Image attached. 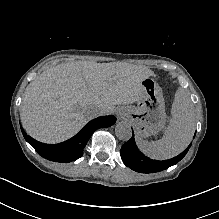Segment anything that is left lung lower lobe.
<instances>
[{"label": "left lung lower lobe", "instance_id": "obj_1", "mask_svg": "<svg viewBox=\"0 0 219 219\" xmlns=\"http://www.w3.org/2000/svg\"><path fill=\"white\" fill-rule=\"evenodd\" d=\"M191 145L178 156L163 161L152 160L138 150L134 136L121 147V157L126 166L140 173H154L167 169L179 162L188 152Z\"/></svg>", "mask_w": 219, "mask_h": 219}]
</instances>
